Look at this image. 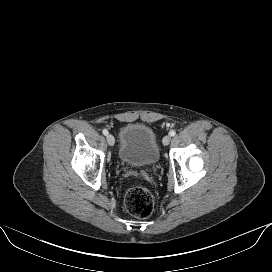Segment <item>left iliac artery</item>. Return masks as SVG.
<instances>
[{
  "label": "left iliac artery",
  "instance_id": "left-iliac-artery-1",
  "mask_svg": "<svg viewBox=\"0 0 272 272\" xmlns=\"http://www.w3.org/2000/svg\"><path fill=\"white\" fill-rule=\"evenodd\" d=\"M175 134H176V132H175L174 130H171V131L169 132V135H170V136H175Z\"/></svg>",
  "mask_w": 272,
  "mask_h": 272
}]
</instances>
